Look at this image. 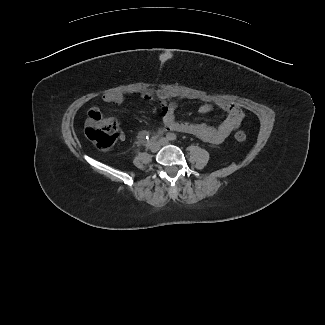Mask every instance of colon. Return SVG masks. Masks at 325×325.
<instances>
[{"instance_id":"obj_1","label":"colon","mask_w":325,"mask_h":325,"mask_svg":"<svg viewBox=\"0 0 325 325\" xmlns=\"http://www.w3.org/2000/svg\"><path fill=\"white\" fill-rule=\"evenodd\" d=\"M85 135L96 147L109 150L117 140V124L100 112L91 111L85 124ZM234 136L238 142L246 140V134L243 131L236 132Z\"/></svg>"}]
</instances>
